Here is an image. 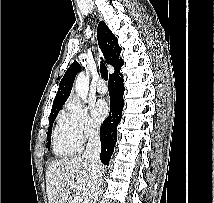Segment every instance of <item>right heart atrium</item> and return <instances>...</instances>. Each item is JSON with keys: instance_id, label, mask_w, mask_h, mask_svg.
Here are the masks:
<instances>
[{"instance_id": "obj_1", "label": "right heart atrium", "mask_w": 214, "mask_h": 203, "mask_svg": "<svg viewBox=\"0 0 214 203\" xmlns=\"http://www.w3.org/2000/svg\"><path fill=\"white\" fill-rule=\"evenodd\" d=\"M59 122L79 146L99 133V126L88 114L87 109L74 100L60 113Z\"/></svg>"}]
</instances>
